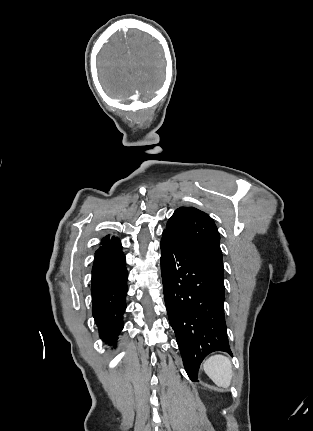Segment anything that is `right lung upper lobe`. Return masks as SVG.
<instances>
[{
    "instance_id": "cb5924a9",
    "label": "right lung upper lobe",
    "mask_w": 313,
    "mask_h": 431,
    "mask_svg": "<svg viewBox=\"0 0 313 431\" xmlns=\"http://www.w3.org/2000/svg\"><path fill=\"white\" fill-rule=\"evenodd\" d=\"M114 239H116V238H115V237L110 238V235H107V236H105V237L102 239L101 244H104V243H106V242H108V241H110V240H114Z\"/></svg>"
}]
</instances>
